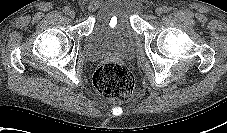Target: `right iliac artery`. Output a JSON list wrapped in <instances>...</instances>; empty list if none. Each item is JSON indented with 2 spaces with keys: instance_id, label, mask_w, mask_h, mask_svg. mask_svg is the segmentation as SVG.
<instances>
[{
  "instance_id": "82829eb1",
  "label": "right iliac artery",
  "mask_w": 227,
  "mask_h": 133,
  "mask_svg": "<svg viewBox=\"0 0 227 133\" xmlns=\"http://www.w3.org/2000/svg\"><path fill=\"white\" fill-rule=\"evenodd\" d=\"M63 12H64L65 15H69L70 8L69 7H65Z\"/></svg>"
}]
</instances>
